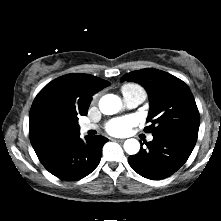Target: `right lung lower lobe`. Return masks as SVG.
I'll list each match as a JSON object with an SVG mask.
<instances>
[{
	"label": "right lung lower lobe",
	"mask_w": 221,
	"mask_h": 221,
	"mask_svg": "<svg viewBox=\"0 0 221 221\" xmlns=\"http://www.w3.org/2000/svg\"><path fill=\"white\" fill-rule=\"evenodd\" d=\"M108 141L102 136L80 134L60 143L47 157L40 160L43 166L54 176L68 181L79 180L90 174L99 164L102 147Z\"/></svg>",
	"instance_id": "98d812e1"
}]
</instances>
